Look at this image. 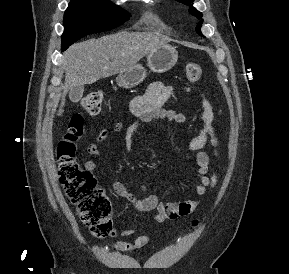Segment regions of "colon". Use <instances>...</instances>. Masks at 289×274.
Instances as JSON below:
<instances>
[{
  "label": "colon",
  "mask_w": 289,
  "mask_h": 274,
  "mask_svg": "<svg viewBox=\"0 0 289 274\" xmlns=\"http://www.w3.org/2000/svg\"><path fill=\"white\" fill-rule=\"evenodd\" d=\"M202 69L197 63H189L185 69L188 84H194L201 78ZM83 109L89 114H98L102 107V95L90 92L81 100ZM84 132V119L74 115L67 131L56 148L58 175L66 196L73 205L83 224L95 237H104L112 230V204L105 190L97 183L91 172L82 168L76 160L77 143ZM192 225H198L194 220Z\"/></svg>",
  "instance_id": "1"
}]
</instances>
